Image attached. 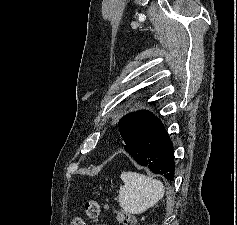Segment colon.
Wrapping results in <instances>:
<instances>
[{
	"instance_id": "1",
	"label": "colon",
	"mask_w": 237,
	"mask_h": 225,
	"mask_svg": "<svg viewBox=\"0 0 237 225\" xmlns=\"http://www.w3.org/2000/svg\"><path fill=\"white\" fill-rule=\"evenodd\" d=\"M101 204L96 200H89L86 202L85 210L86 214L90 219H97L101 212ZM119 225H136V220L134 216L127 213H119L117 217ZM70 225H87L86 221L79 216L72 218Z\"/></svg>"
}]
</instances>
